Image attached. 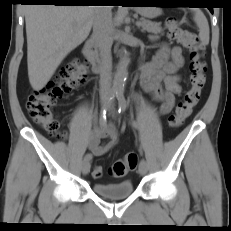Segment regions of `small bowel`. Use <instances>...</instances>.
<instances>
[{
  "label": "small bowel",
  "mask_w": 231,
  "mask_h": 231,
  "mask_svg": "<svg viewBox=\"0 0 231 231\" xmlns=\"http://www.w3.org/2000/svg\"><path fill=\"white\" fill-rule=\"evenodd\" d=\"M183 65L181 48L161 45L151 63L141 73L140 83L145 92L160 103V112L169 114L175 107V97L181 93L180 77L177 74ZM108 139L101 143L102 139ZM118 141L114 126L96 127L90 134L87 146L96 156H102L111 150Z\"/></svg>",
  "instance_id": "c3829d8e"
}]
</instances>
